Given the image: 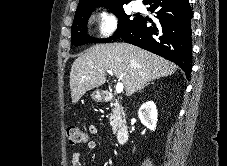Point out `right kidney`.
<instances>
[{
	"instance_id": "1",
	"label": "right kidney",
	"mask_w": 227,
	"mask_h": 166,
	"mask_svg": "<svg viewBox=\"0 0 227 166\" xmlns=\"http://www.w3.org/2000/svg\"><path fill=\"white\" fill-rule=\"evenodd\" d=\"M138 116L144 126L149 128L151 131L156 129L158 113L153 101L144 103L138 111Z\"/></svg>"
}]
</instances>
